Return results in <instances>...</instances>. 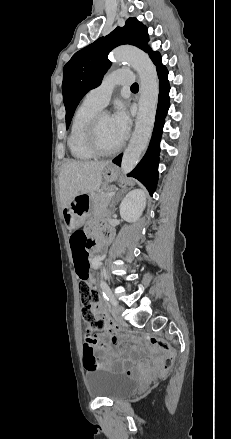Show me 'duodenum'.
<instances>
[{
	"label": "duodenum",
	"instance_id": "1",
	"mask_svg": "<svg viewBox=\"0 0 231 439\" xmlns=\"http://www.w3.org/2000/svg\"><path fill=\"white\" fill-rule=\"evenodd\" d=\"M97 242H98V240H95V241L92 243V247L98 249L99 244H98Z\"/></svg>",
	"mask_w": 231,
	"mask_h": 439
}]
</instances>
